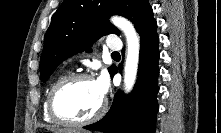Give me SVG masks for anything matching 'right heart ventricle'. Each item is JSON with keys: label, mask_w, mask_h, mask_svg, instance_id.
Instances as JSON below:
<instances>
[{"label": "right heart ventricle", "mask_w": 221, "mask_h": 133, "mask_svg": "<svg viewBox=\"0 0 221 133\" xmlns=\"http://www.w3.org/2000/svg\"><path fill=\"white\" fill-rule=\"evenodd\" d=\"M65 75L64 74H60L58 75L52 82L51 84L49 85L48 89H47V92L45 94V98H44V101H43V106H42V111H43V118L46 122L48 123H56L49 115L48 113V109H47V98H48V95L51 91V89L53 88V86L58 82L60 81L62 78H64Z\"/></svg>", "instance_id": "right-heart-ventricle-1"}]
</instances>
